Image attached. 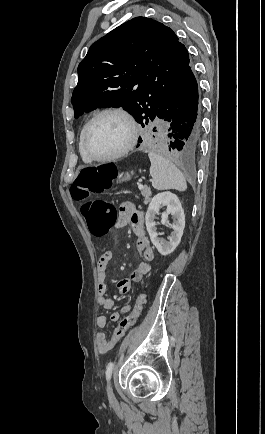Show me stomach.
Wrapping results in <instances>:
<instances>
[{
  "instance_id": "0dacf381",
  "label": "stomach",
  "mask_w": 265,
  "mask_h": 434,
  "mask_svg": "<svg viewBox=\"0 0 265 434\" xmlns=\"http://www.w3.org/2000/svg\"><path fill=\"white\" fill-rule=\"evenodd\" d=\"M128 180H131V174H124L123 178H117L118 184L120 182H128Z\"/></svg>"
}]
</instances>
